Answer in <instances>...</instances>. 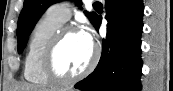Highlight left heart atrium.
Returning <instances> with one entry per match:
<instances>
[{"label": "left heart atrium", "mask_w": 173, "mask_h": 91, "mask_svg": "<svg viewBox=\"0 0 173 91\" xmlns=\"http://www.w3.org/2000/svg\"><path fill=\"white\" fill-rule=\"evenodd\" d=\"M81 34H82V36L84 37V39H85L89 44L92 45V36H91L90 32L87 31V30H85V31H82Z\"/></svg>", "instance_id": "39dd6f15"}]
</instances>
